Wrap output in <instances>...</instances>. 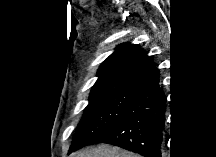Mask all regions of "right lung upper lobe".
<instances>
[{
	"mask_svg": "<svg viewBox=\"0 0 216 157\" xmlns=\"http://www.w3.org/2000/svg\"><path fill=\"white\" fill-rule=\"evenodd\" d=\"M97 76L90 97L121 89L135 91L154 82L159 72L138 45L125 43L101 64Z\"/></svg>",
	"mask_w": 216,
	"mask_h": 157,
	"instance_id": "1",
	"label": "right lung upper lobe"
}]
</instances>
